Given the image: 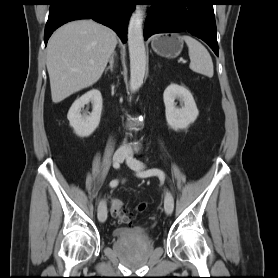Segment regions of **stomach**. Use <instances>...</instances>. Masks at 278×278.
I'll use <instances>...</instances> for the list:
<instances>
[{
    "mask_svg": "<svg viewBox=\"0 0 278 278\" xmlns=\"http://www.w3.org/2000/svg\"><path fill=\"white\" fill-rule=\"evenodd\" d=\"M152 49L162 57L175 58L183 48V40L177 33L155 36L151 41Z\"/></svg>",
    "mask_w": 278,
    "mask_h": 278,
    "instance_id": "obj_1",
    "label": "stomach"
}]
</instances>
